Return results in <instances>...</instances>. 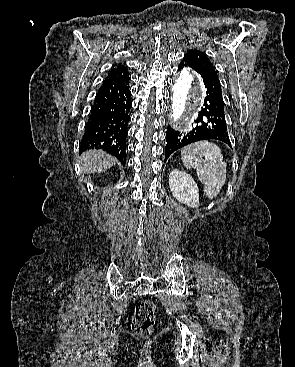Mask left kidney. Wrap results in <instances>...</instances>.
Segmentation results:
<instances>
[{
    "mask_svg": "<svg viewBox=\"0 0 295 367\" xmlns=\"http://www.w3.org/2000/svg\"><path fill=\"white\" fill-rule=\"evenodd\" d=\"M169 187L173 196L189 207L199 206V190L194 179L178 169L172 170L169 175Z\"/></svg>",
    "mask_w": 295,
    "mask_h": 367,
    "instance_id": "obj_1",
    "label": "left kidney"
}]
</instances>
